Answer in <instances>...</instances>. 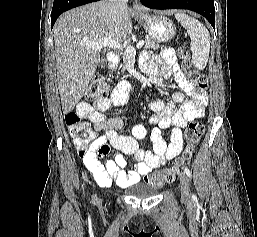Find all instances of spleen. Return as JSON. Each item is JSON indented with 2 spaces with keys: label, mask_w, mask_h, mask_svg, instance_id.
<instances>
[{
  "label": "spleen",
  "mask_w": 257,
  "mask_h": 237,
  "mask_svg": "<svg viewBox=\"0 0 257 237\" xmlns=\"http://www.w3.org/2000/svg\"><path fill=\"white\" fill-rule=\"evenodd\" d=\"M176 19L187 30L191 38L192 61L196 69L202 70L206 67L210 51V34L206 27L198 20L177 13Z\"/></svg>",
  "instance_id": "1"
}]
</instances>
